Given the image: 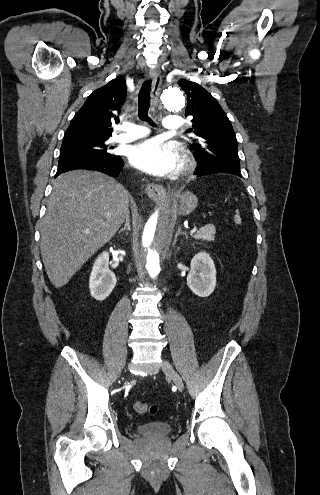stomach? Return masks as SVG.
<instances>
[{"label": "stomach", "mask_w": 320, "mask_h": 495, "mask_svg": "<svg viewBox=\"0 0 320 495\" xmlns=\"http://www.w3.org/2000/svg\"><path fill=\"white\" fill-rule=\"evenodd\" d=\"M198 205L197 197L190 191L182 193L179 197L177 212L181 216L192 213Z\"/></svg>", "instance_id": "1"}]
</instances>
